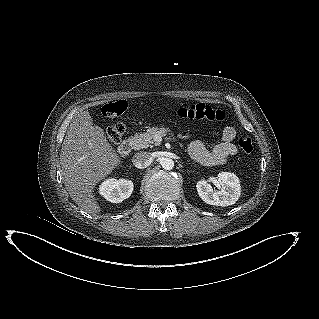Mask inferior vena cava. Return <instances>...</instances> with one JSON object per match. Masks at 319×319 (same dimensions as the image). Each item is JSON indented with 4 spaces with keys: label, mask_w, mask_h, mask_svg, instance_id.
Segmentation results:
<instances>
[{
    "label": "inferior vena cava",
    "mask_w": 319,
    "mask_h": 319,
    "mask_svg": "<svg viewBox=\"0 0 319 319\" xmlns=\"http://www.w3.org/2000/svg\"><path fill=\"white\" fill-rule=\"evenodd\" d=\"M132 162L136 168L143 169L153 162V157L149 152L141 151L133 156Z\"/></svg>",
    "instance_id": "obj_1"
}]
</instances>
